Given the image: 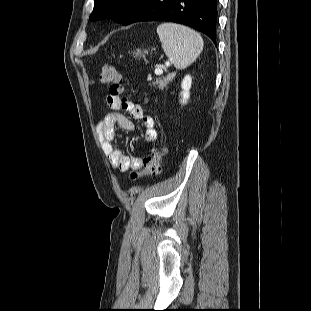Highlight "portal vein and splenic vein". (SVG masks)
Listing matches in <instances>:
<instances>
[{"label": "portal vein and splenic vein", "mask_w": 311, "mask_h": 311, "mask_svg": "<svg viewBox=\"0 0 311 311\" xmlns=\"http://www.w3.org/2000/svg\"><path fill=\"white\" fill-rule=\"evenodd\" d=\"M162 73H163V70L161 68L158 67V68L155 69V74L156 75H161Z\"/></svg>", "instance_id": "1"}]
</instances>
